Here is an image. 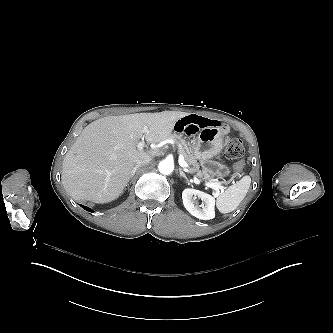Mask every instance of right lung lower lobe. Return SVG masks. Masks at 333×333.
<instances>
[{
	"label": "right lung lower lobe",
	"instance_id": "right-lung-lower-lobe-1",
	"mask_svg": "<svg viewBox=\"0 0 333 333\" xmlns=\"http://www.w3.org/2000/svg\"><path fill=\"white\" fill-rule=\"evenodd\" d=\"M82 206V205H81ZM85 210H87V211H90V212H93V210L92 209H90V208H88V207H86V206H82Z\"/></svg>",
	"mask_w": 333,
	"mask_h": 333
}]
</instances>
